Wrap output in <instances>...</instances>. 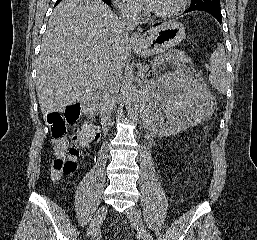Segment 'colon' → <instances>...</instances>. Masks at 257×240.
Returning <instances> with one entry per match:
<instances>
[{"instance_id": "colon-1", "label": "colon", "mask_w": 257, "mask_h": 240, "mask_svg": "<svg viewBox=\"0 0 257 240\" xmlns=\"http://www.w3.org/2000/svg\"><path fill=\"white\" fill-rule=\"evenodd\" d=\"M79 117V106L71 105L63 113L53 112L48 114L47 123L50 127L51 137L53 139L62 138L67 129V125L74 123ZM79 152L75 146H72L68 153L56 155L52 163V174L55 178L73 174L77 169L76 158Z\"/></svg>"}]
</instances>
